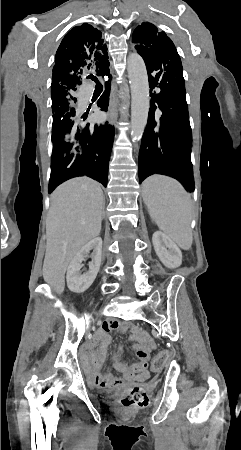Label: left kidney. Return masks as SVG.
<instances>
[{
    "label": "left kidney",
    "mask_w": 241,
    "mask_h": 450,
    "mask_svg": "<svg viewBox=\"0 0 241 450\" xmlns=\"http://www.w3.org/2000/svg\"><path fill=\"white\" fill-rule=\"evenodd\" d=\"M154 250L166 268H178L182 264V254L178 246L163 234V232H154L152 238Z\"/></svg>",
    "instance_id": "left-kidney-1"
}]
</instances>
